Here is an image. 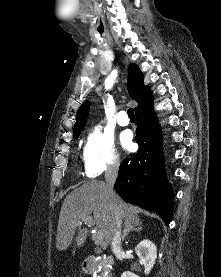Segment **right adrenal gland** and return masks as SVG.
<instances>
[{"label":"right adrenal gland","mask_w":221,"mask_h":277,"mask_svg":"<svg viewBox=\"0 0 221 277\" xmlns=\"http://www.w3.org/2000/svg\"><path fill=\"white\" fill-rule=\"evenodd\" d=\"M141 230H142L141 226H138L136 224L124 223L123 230H122V240L124 241L126 236L130 232H140Z\"/></svg>","instance_id":"right-adrenal-gland-1"}]
</instances>
